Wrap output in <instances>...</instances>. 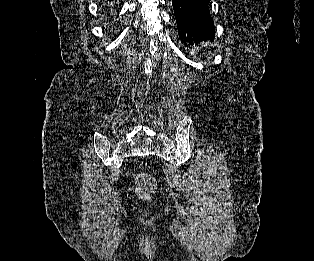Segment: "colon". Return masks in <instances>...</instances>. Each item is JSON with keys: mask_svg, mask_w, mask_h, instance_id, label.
<instances>
[{"mask_svg": "<svg viewBox=\"0 0 314 261\" xmlns=\"http://www.w3.org/2000/svg\"><path fill=\"white\" fill-rule=\"evenodd\" d=\"M136 187L140 198L151 200L155 192L156 184L151 175L140 173L136 177Z\"/></svg>", "mask_w": 314, "mask_h": 261, "instance_id": "obj_1", "label": "colon"}]
</instances>
